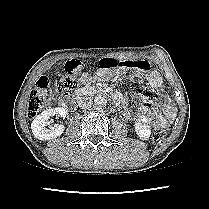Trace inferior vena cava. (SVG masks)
Segmentation results:
<instances>
[{
	"instance_id": "1",
	"label": "inferior vena cava",
	"mask_w": 209,
	"mask_h": 209,
	"mask_svg": "<svg viewBox=\"0 0 209 209\" xmlns=\"http://www.w3.org/2000/svg\"><path fill=\"white\" fill-rule=\"evenodd\" d=\"M79 107L83 110H87L93 107V102L91 97L83 96L79 99Z\"/></svg>"
}]
</instances>
